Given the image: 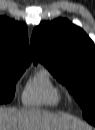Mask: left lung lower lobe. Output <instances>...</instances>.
Listing matches in <instances>:
<instances>
[{"mask_svg": "<svg viewBox=\"0 0 95 130\" xmlns=\"http://www.w3.org/2000/svg\"><path fill=\"white\" fill-rule=\"evenodd\" d=\"M88 122H89V121H88ZM89 123H91V124H93V125L95 124V122H89Z\"/></svg>", "mask_w": 95, "mask_h": 130, "instance_id": "1", "label": "left lung lower lobe"}]
</instances>
